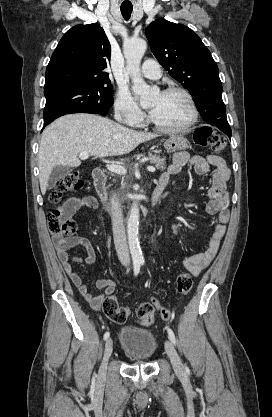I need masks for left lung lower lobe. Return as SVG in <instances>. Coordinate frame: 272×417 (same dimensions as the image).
Masks as SVG:
<instances>
[{
	"instance_id": "obj_1",
	"label": "left lung lower lobe",
	"mask_w": 272,
	"mask_h": 417,
	"mask_svg": "<svg viewBox=\"0 0 272 417\" xmlns=\"http://www.w3.org/2000/svg\"><path fill=\"white\" fill-rule=\"evenodd\" d=\"M228 137H231V131L228 130H222Z\"/></svg>"
}]
</instances>
